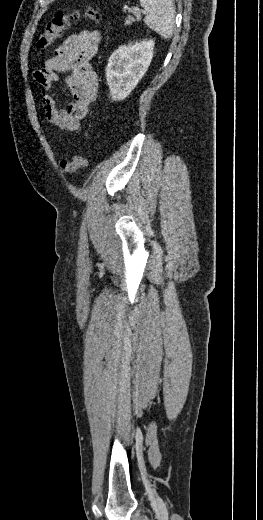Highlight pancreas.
<instances>
[{
	"instance_id": "pancreas-1",
	"label": "pancreas",
	"mask_w": 263,
	"mask_h": 520,
	"mask_svg": "<svg viewBox=\"0 0 263 520\" xmlns=\"http://www.w3.org/2000/svg\"><path fill=\"white\" fill-rule=\"evenodd\" d=\"M129 12L133 13L136 18H134L133 16L129 15L125 19V25H131L135 21H140L141 20V14H140L141 12L139 10H137V9H129Z\"/></svg>"
}]
</instances>
